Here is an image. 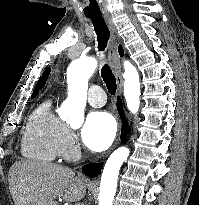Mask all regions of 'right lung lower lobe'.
Wrapping results in <instances>:
<instances>
[{
    "instance_id": "obj_1",
    "label": "right lung lower lobe",
    "mask_w": 199,
    "mask_h": 205,
    "mask_svg": "<svg viewBox=\"0 0 199 205\" xmlns=\"http://www.w3.org/2000/svg\"><path fill=\"white\" fill-rule=\"evenodd\" d=\"M117 108L123 118V109H122V103H121L120 98L117 99ZM125 123H126L125 119L123 118V128H122V135H121L122 139H124L127 133ZM101 168H102V163H93V164H88L86 166H83L82 171L90 178H93V177L98 176V174L101 172Z\"/></svg>"
}]
</instances>
